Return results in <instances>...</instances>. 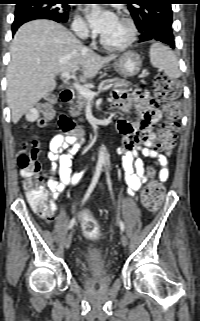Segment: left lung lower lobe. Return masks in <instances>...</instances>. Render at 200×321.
<instances>
[{
  "instance_id": "0a47b994",
  "label": "left lung lower lobe",
  "mask_w": 200,
  "mask_h": 321,
  "mask_svg": "<svg viewBox=\"0 0 200 321\" xmlns=\"http://www.w3.org/2000/svg\"><path fill=\"white\" fill-rule=\"evenodd\" d=\"M140 41H157L174 48V36L172 30L162 27H154L145 32H141Z\"/></svg>"
}]
</instances>
